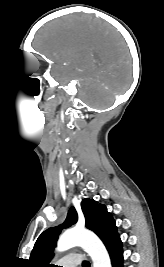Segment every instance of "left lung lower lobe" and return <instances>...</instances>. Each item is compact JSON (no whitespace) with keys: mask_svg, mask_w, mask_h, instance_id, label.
Returning a JSON list of instances; mask_svg holds the SVG:
<instances>
[{"mask_svg":"<svg viewBox=\"0 0 164 267\" xmlns=\"http://www.w3.org/2000/svg\"><path fill=\"white\" fill-rule=\"evenodd\" d=\"M103 243L109 252L112 267H123L122 242L117 229Z\"/></svg>","mask_w":164,"mask_h":267,"instance_id":"1","label":"left lung lower lobe"}]
</instances>
